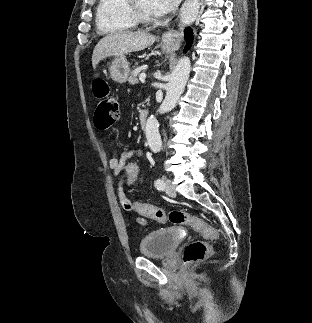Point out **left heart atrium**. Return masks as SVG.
Instances as JSON below:
<instances>
[{"instance_id": "left-heart-atrium-1", "label": "left heart atrium", "mask_w": 312, "mask_h": 323, "mask_svg": "<svg viewBox=\"0 0 312 323\" xmlns=\"http://www.w3.org/2000/svg\"><path fill=\"white\" fill-rule=\"evenodd\" d=\"M180 3L181 0H152L151 7L154 12H176L177 4Z\"/></svg>"}]
</instances>
